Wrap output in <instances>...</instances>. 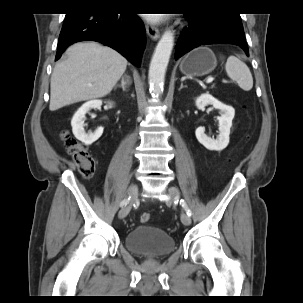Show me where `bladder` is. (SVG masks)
Listing matches in <instances>:
<instances>
[{
	"instance_id": "1",
	"label": "bladder",
	"mask_w": 303,
	"mask_h": 303,
	"mask_svg": "<svg viewBox=\"0 0 303 303\" xmlns=\"http://www.w3.org/2000/svg\"><path fill=\"white\" fill-rule=\"evenodd\" d=\"M125 248L141 257H165L176 249L173 237L151 225H138L125 236Z\"/></svg>"
}]
</instances>
